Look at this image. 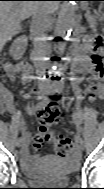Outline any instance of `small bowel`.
Listing matches in <instances>:
<instances>
[{
    "mask_svg": "<svg viewBox=\"0 0 104 189\" xmlns=\"http://www.w3.org/2000/svg\"><path fill=\"white\" fill-rule=\"evenodd\" d=\"M94 68L95 66L91 59L81 60L79 62L76 71L79 74L87 77V86L84 91H78V99L86 96L90 101H92L96 97H99L103 94L102 87L97 82L98 77L94 74ZM4 69L6 76L10 81H14L18 73L20 74V80L22 83H28L34 78L31 68L27 64L7 65ZM92 74L94 75L91 76ZM0 96L2 97L4 104L2 109L12 114L15 113L16 108L14 105L13 95L4 85L0 86ZM18 128L22 132L24 138L21 149L22 162L27 166H32L36 158L30 153V129L23 122L18 124ZM70 161L76 162V158L70 159Z\"/></svg>",
    "mask_w": 104,
    "mask_h": 189,
    "instance_id": "small-bowel-1",
    "label": "small bowel"
}]
</instances>
